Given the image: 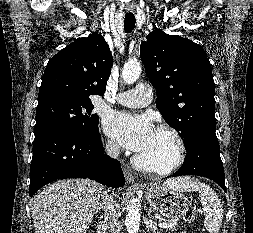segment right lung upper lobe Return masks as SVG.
<instances>
[{
    "instance_id": "right-lung-upper-lobe-1",
    "label": "right lung upper lobe",
    "mask_w": 253,
    "mask_h": 233,
    "mask_svg": "<svg viewBox=\"0 0 253 233\" xmlns=\"http://www.w3.org/2000/svg\"><path fill=\"white\" fill-rule=\"evenodd\" d=\"M113 58L101 34L79 38L52 57L44 71L38 103L53 97L90 99L104 95Z\"/></svg>"
}]
</instances>
